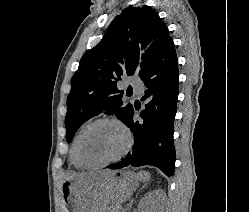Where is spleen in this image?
<instances>
[{
	"mask_svg": "<svg viewBox=\"0 0 249 212\" xmlns=\"http://www.w3.org/2000/svg\"><path fill=\"white\" fill-rule=\"evenodd\" d=\"M145 174H146V178H145V180H148V178H149V174H148V172H145Z\"/></svg>",
	"mask_w": 249,
	"mask_h": 212,
	"instance_id": "1",
	"label": "spleen"
}]
</instances>
